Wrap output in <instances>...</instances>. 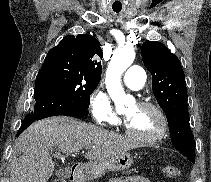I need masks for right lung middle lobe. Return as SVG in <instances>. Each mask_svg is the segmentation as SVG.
<instances>
[{
    "instance_id": "1",
    "label": "right lung middle lobe",
    "mask_w": 211,
    "mask_h": 182,
    "mask_svg": "<svg viewBox=\"0 0 211 182\" xmlns=\"http://www.w3.org/2000/svg\"><path fill=\"white\" fill-rule=\"evenodd\" d=\"M99 81L88 79L78 72L64 69L61 65L41 67L36 86L42 85L69 98L81 108L88 109L90 95Z\"/></svg>"
}]
</instances>
